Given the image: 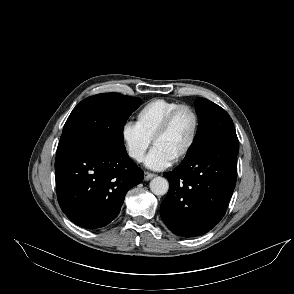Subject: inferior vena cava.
I'll return each mask as SVG.
<instances>
[{
	"mask_svg": "<svg viewBox=\"0 0 294 294\" xmlns=\"http://www.w3.org/2000/svg\"><path fill=\"white\" fill-rule=\"evenodd\" d=\"M130 156L133 157V158H135L138 161H142V159H143V153L138 152V151L131 152L130 153Z\"/></svg>",
	"mask_w": 294,
	"mask_h": 294,
	"instance_id": "obj_1",
	"label": "inferior vena cava"
}]
</instances>
